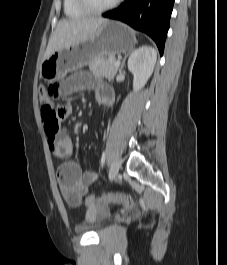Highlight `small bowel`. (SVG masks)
<instances>
[{"label":"small bowel","mask_w":227,"mask_h":265,"mask_svg":"<svg viewBox=\"0 0 227 265\" xmlns=\"http://www.w3.org/2000/svg\"><path fill=\"white\" fill-rule=\"evenodd\" d=\"M91 77H94V72H74L64 81H55L54 85L59 86V92L63 95L92 89L96 92V99L99 103L111 106L112 90ZM72 111L73 108L66 103H59L58 112H66L65 117ZM48 136L51 153L63 160L57 170L61 195L70 207H80L85 202L90 186L98 179V174L94 171L83 170L78 162L70 159L73 153V142L66 132L58 131Z\"/></svg>","instance_id":"c3829d8e"}]
</instances>
